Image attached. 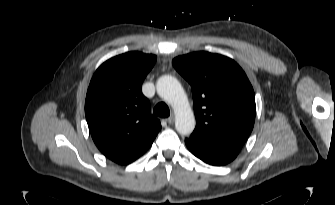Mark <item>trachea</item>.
Listing matches in <instances>:
<instances>
[{
  "instance_id": "3493384b",
  "label": "trachea",
  "mask_w": 335,
  "mask_h": 205,
  "mask_svg": "<svg viewBox=\"0 0 335 205\" xmlns=\"http://www.w3.org/2000/svg\"><path fill=\"white\" fill-rule=\"evenodd\" d=\"M153 112L155 115L163 118L168 117L170 115L169 107L164 102L158 103L154 107Z\"/></svg>"
}]
</instances>
